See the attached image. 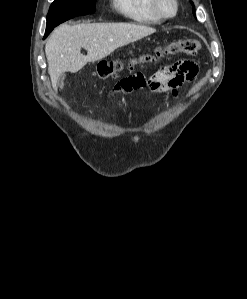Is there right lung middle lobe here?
I'll use <instances>...</instances> for the list:
<instances>
[{"mask_svg":"<svg viewBox=\"0 0 247 299\" xmlns=\"http://www.w3.org/2000/svg\"><path fill=\"white\" fill-rule=\"evenodd\" d=\"M96 0H54L48 15L45 37L60 23L73 17L95 12Z\"/></svg>","mask_w":247,"mask_h":299,"instance_id":"obj_1","label":"right lung middle lobe"}]
</instances>
